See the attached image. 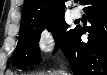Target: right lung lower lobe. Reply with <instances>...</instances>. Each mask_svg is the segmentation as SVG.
Wrapping results in <instances>:
<instances>
[{"label":"right lung lower lobe","instance_id":"right-lung-lower-lobe-1","mask_svg":"<svg viewBox=\"0 0 107 75\" xmlns=\"http://www.w3.org/2000/svg\"><path fill=\"white\" fill-rule=\"evenodd\" d=\"M90 27L78 28L61 49L75 75H107V0H84ZM88 33V42L81 35Z\"/></svg>","mask_w":107,"mask_h":75}]
</instances>
